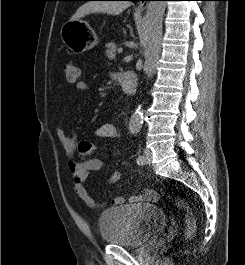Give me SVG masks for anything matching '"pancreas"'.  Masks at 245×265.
I'll use <instances>...</instances> for the list:
<instances>
[{
	"label": "pancreas",
	"instance_id": "pancreas-1",
	"mask_svg": "<svg viewBox=\"0 0 245 265\" xmlns=\"http://www.w3.org/2000/svg\"><path fill=\"white\" fill-rule=\"evenodd\" d=\"M107 48L105 51V55L109 60H115L116 58V50H117V45L114 42L107 43L105 45Z\"/></svg>",
	"mask_w": 245,
	"mask_h": 265
}]
</instances>
